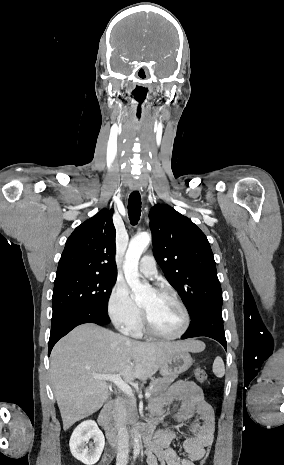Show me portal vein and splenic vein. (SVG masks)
Here are the masks:
<instances>
[{"label": "portal vein and splenic vein", "mask_w": 284, "mask_h": 465, "mask_svg": "<svg viewBox=\"0 0 284 465\" xmlns=\"http://www.w3.org/2000/svg\"><path fill=\"white\" fill-rule=\"evenodd\" d=\"M93 379H100V381H111L114 385H117L118 389H121L127 397L134 399L133 391L127 383H124L121 379V375H92ZM151 393H145V399H149Z\"/></svg>", "instance_id": "18ae733b"}]
</instances>
